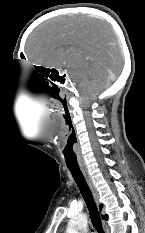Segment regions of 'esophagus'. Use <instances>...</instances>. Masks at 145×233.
I'll list each match as a JSON object with an SVG mask.
<instances>
[{"label":"esophagus","instance_id":"1","mask_svg":"<svg viewBox=\"0 0 145 233\" xmlns=\"http://www.w3.org/2000/svg\"><path fill=\"white\" fill-rule=\"evenodd\" d=\"M81 171H82V174H83V176H84V178H85V180H86V182H87V184H88V186H89V188H90V190H91V192L93 194V197H94L95 201L98 203L97 190H96V188L94 186V183H93V181L91 179V176L89 175L88 170L84 169V168H81Z\"/></svg>","mask_w":145,"mask_h":233}]
</instances>
